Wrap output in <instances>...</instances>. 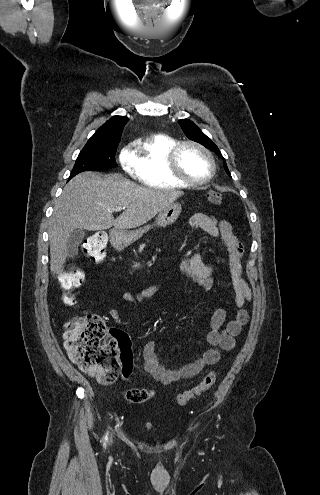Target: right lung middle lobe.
Masks as SVG:
<instances>
[{
    "label": "right lung middle lobe",
    "mask_w": 320,
    "mask_h": 495,
    "mask_svg": "<svg viewBox=\"0 0 320 495\" xmlns=\"http://www.w3.org/2000/svg\"><path fill=\"white\" fill-rule=\"evenodd\" d=\"M118 144L85 146L73 167L70 178L83 171H100L117 167L115 154Z\"/></svg>",
    "instance_id": "obj_1"
}]
</instances>
